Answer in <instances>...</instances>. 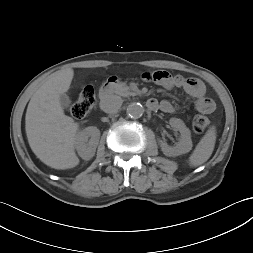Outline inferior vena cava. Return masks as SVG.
Instances as JSON below:
<instances>
[{"instance_id": "obj_1", "label": "inferior vena cava", "mask_w": 253, "mask_h": 253, "mask_svg": "<svg viewBox=\"0 0 253 253\" xmlns=\"http://www.w3.org/2000/svg\"><path fill=\"white\" fill-rule=\"evenodd\" d=\"M121 105H122V100L115 96H112L100 102L101 110L109 114L117 113L120 110Z\"/></svg>"}]
</instances>
